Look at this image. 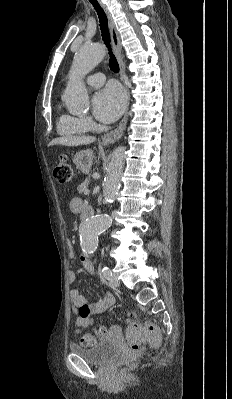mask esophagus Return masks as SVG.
I'll return each instance as SVG.
<instances>
[{
  "label": "esophagus",
  "mask_w": 232,
  "mask_h": 399,
  "mask_svg": "<svg viewBox=\"0 0 232 399\" xmlns=\"http://www.w3.org/2000/svg\"><path fill=\"white\" fill-rule=\"evenodd\" d=\"M98 2L100 3L101 7L103 8L105 14L108 17L112 46H113V50H114L117 62L119 64V68H120V72H121V80L128 90V87H127V84L125 81V65H124L123 56H122V47H121V40L119 37V33L117 31V28H116L115 22L112 18V15H111L110 11L108 10L107 6L105 5V3H103L102 0H98ZM129 104H130V94H129V90H128V106H127L126 113H125L124 117L122 118L121 122L119 123L118 127L115 130H112L111 132L106 133L104 135V137L102 139L103 145L113 144L123 134V132L126 128L127 120H128Z\"/></svg>",
  "instance_id": "esophagus-1"
}]
</instances>
